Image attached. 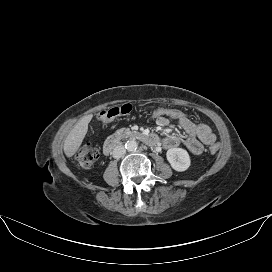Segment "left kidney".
<instances>
[{"label":"left kidney","instance_id":"5707ae66","mask_svg":"<svg viewBox=\"0 0 272 272\" xmlns=\"http://www.w3.org/2000/svg\"><path fill=\"white\" fill-rule=\"evenodd\" d=\"M166 157L171 167L178 172L187 170L191 163L188 152L182 148L169 149Z\"/></svg>","mask_w":272,"mask_h":272}]
</instances>
